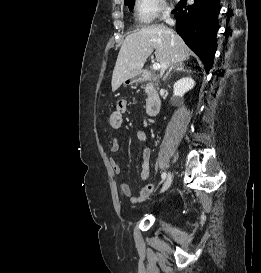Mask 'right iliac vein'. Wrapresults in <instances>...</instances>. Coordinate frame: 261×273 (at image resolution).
Here are the masks:
<instances>
[{
  "mask_svg": "<svg viewBox=\"0 0 261 273\" xmlns=\"http://www.w3.org/2000/svg\"><path fill=\"white\" fill-rule=\"evenodd\" d=\"M171 183H172V175H171V173H169L168 177L161 189V193L165 192L170 187Z\"/></svg>",
  "mask_w": 261,
  "mask_h": 273,
  "instance_id": "63e3f726",
  "label": "right iliac vein"
}]
</instances>
